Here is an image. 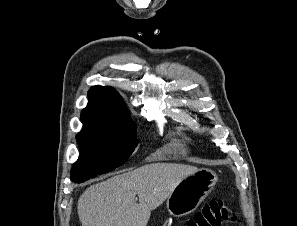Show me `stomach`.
<instances>
[{
    "instance_id": "0dacf381",
    "label": "stomach",
    "mask_w": 297,
    "mask_h": 226,
    "mask_svg": "<svg viewBox=\"0 0 297 226\" xmlns=\"http://www.w3.org/2000/svg\"><path fill=\"white\" fill-rule=\"evenodd\" d=\"M217 179L216 173L205 168L183 178L167 198L169 213L182 217L195 211L211 192Z\"/></svg>"
}]
</instances>
